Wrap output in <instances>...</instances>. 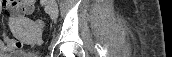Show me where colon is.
I'll list each match as a JSON object with an SVG mask.
<instances>
[{
    "mask_svg": "<svg viewBox=\"0 0 172 57\" xmlns=\"http://www.w3.org/2000/svg\"><path fill=\"white\" fill-rule=\"evenodd\" d=\"M16 13L15 12H12L10 10L7 11V15L10 16V17H13ZM37 24L40 26V27H44L45 26V21L44 20H37Z\"/></svg>",
    "mask_w": 172,
    "mask_h": 57,
    "instance_id": "1",
    "label": "colon"
}]
</instances>
